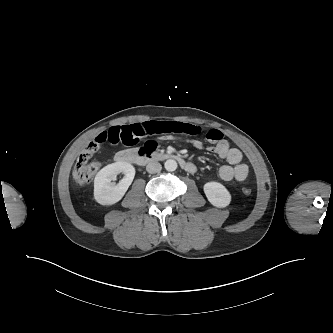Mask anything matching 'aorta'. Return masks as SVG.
<instances>
[{
	"label": "aorta",
	"instance_id": "1",
	"mask_svg": "<svg viewBox=\"0 0 333 333\" xmlns=\"http://www.w3.org/2000/svg\"><path fill=\"white\" fill-rule=\"evenodd\" d=\"M164 167L169 172L175 171L177 169V162L173 159H168L165 161Z\"/></svg>",
	"mask_w": 333,
	"mask_h": 333
}]
</instances>
